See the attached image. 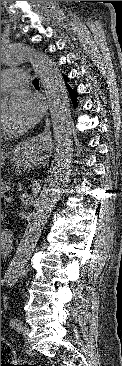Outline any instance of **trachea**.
<instances>
[{
	"label": "trachea",
	"instance_id": "obj_1",
	"mask_svg": "<svg viewBox=\"0 0 122 366\" xmlns=\"http://www.w3.org/2000/svg\"><path fill=\"white\" fill-rule=\"evenodd\" d=\"M33 85H34V87H39V81H38V79H34Z\"/></svg>",
	"mask_w": 122,
	"mask_h": 366
}]
</instances>
